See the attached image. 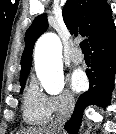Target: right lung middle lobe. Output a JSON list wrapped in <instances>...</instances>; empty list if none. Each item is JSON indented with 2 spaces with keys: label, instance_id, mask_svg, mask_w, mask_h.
<instances>
[{
  "label": "right lung middle lobe",
  "instance_id": "1",
  "mask_svg": "<svg viewBox=\"0 0 116 134\" xmlns=\"http://www.w3.org/2000/svg\"><path fill=\"white\" fill-rule=\"evenodd\" d=\"M25 82H26V79H23V80L20 81V85H21V92L20 93H22V91L24 89Z\"/></svg>",
  "mask_w": 116,
  "mask_h": 134
}]
</instances>
